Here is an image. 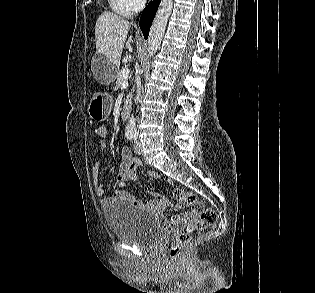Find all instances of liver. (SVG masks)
Here are the masks:
<instances>
[{
  "label": "liver",
  "mask_w": 315,
  "mask_h": 293,
  "mask_svg": "<svg viewBox=\"0 0 315 293\" xmlns=\"http://www.w3.org/2000/svg\"><path fill=\"white\" fill-rule=\"evenodd\" d=\"M130 27L131 23L123 17L111 12H103L95 26L97 54L103 55L113 64H118ZM131 41L132 37H130Z\"/></svg>",
  "instance_id": "obj_1"
}]
</instances>
